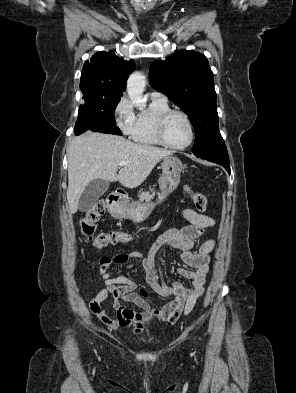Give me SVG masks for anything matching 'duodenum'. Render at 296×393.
<instances>
[{
  "mask_svg": "<svg viewBox=\"0 0 296 393\" xmlns=\"http://www.w3.org/2000/svg\"><path fill=\"white\" fill-rule=\"evenodd\" d=\"M124 201V196L122 193H114L108 198V205L112 211L119 208L121 203Z\"/></svg>",
  "mask_w": 296,
  "mask_h": 393,
  "instance_id": "duodenum-1",
  "label": "duodenum"
}]
</instances>
